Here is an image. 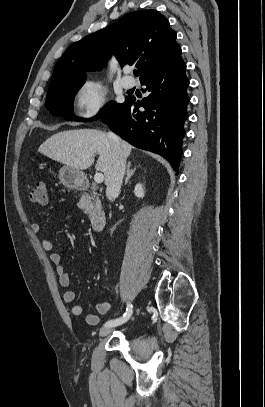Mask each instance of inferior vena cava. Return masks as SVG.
I'll list each match as a JSON object with an SVG mask.
<instances>
[{
	"label": "inferior vena cava",
	"instance_id": "obj_1",
	"mask_svg": "<svg viewBox=\"0 0 265 407\" xmlns=\"http://www.w3.org/2000/svg\"><path fill=\"white\" fill-rule=\"evenodd\" d=\"M107 137L112 148L113 164L111 174L107 182L106 196L110 201H113L120 194L126 168V157L123 154L119 138L112 132H108Z\"/></svg>",
	"mask_w": 265,
	"mask_h": 407
}]
</instances>
